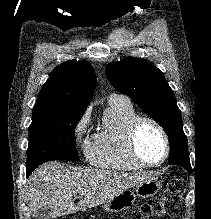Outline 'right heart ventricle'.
<instances>
[{
  "instance_id": "obj_1",
  "label": "right heart ventricle",
  "mask_w": 211,
  "mask_h": 219,
  "mask_svg": "<svg viewBox=\"0 0 211 219\" xmlns=\"http://www.w3.org/2000/svg\"><path fill=\"white\" fill-rule=\"evenodd\" d=\"M138 117L133 105L126 99L109 101L104 115V127L85 147L88 162L96 167L133 171L140 168L130 157L126 135L129 124Z\"/></svg>"
}]
</instances>
